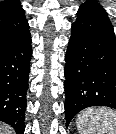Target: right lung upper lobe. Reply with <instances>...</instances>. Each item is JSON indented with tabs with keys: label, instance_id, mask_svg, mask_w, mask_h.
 I'll return each mask as SVG.
<instances>
[{
	"label": "right lung upper lobe",
	"instance_id": "obj_1",
	"mask_svg": "<svg viewBox=\"0 0 116 134\" xmlns=\"http://www.w3.org/2000/svg\"><path fill=\"white\" fill-rule=\"evenodd\" d=\"M29 29L20 1L0 2V49Z\"/></svg>",
	"mask_w": 116,
	"mask_h": 134
}]
</instances>
